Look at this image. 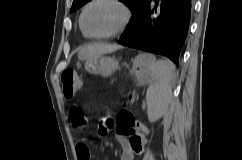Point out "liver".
<instances>
[{
    "mask_svg": "<svg viewBox=\"0 0 242 160\" xmlns=\"http://www.w3.org/2000/svg\"><path fill=\"white\" fill-rule=\"evenodd\" d=\"M122 46L117 44H92L83 47L78 53V59L80 60H89L99 57L103 54L112 53Z\"/></svg>",
    "mask_w": 242,
    "mask_h": 160,
    "instance_id": "liver-1",
    "label": "liver"
}]
</instances>
